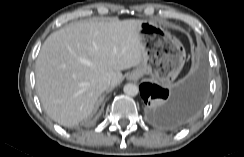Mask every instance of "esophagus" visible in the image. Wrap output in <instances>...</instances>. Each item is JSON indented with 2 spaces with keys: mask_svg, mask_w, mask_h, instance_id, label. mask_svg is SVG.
Returning <instances> with one entry per match:
<instances>
[{
  "mask_svg": "<svg viewBox=\"0 0 244 157\" xmlns=\"http://www.w3.org/2000/svg\"><path fill=\"white\" fill-rule=\"evenodd\" d=\"M139 78V75L138 74H134L133 76H132V79L133 80H137Z\"/></svg>",
  "mask_w": 244,
  "mask_h": 157,
  "instance_id": "esophagus-1",
  "label": "esophagus"
}]
</instances>
